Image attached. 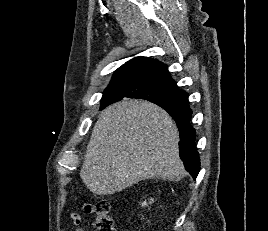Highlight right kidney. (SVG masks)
Segmentation results:
<instances>
[{
	"label": "right kidney",
	"instance_id": "ca27d5eb",
	"mask_svg": "<svg viewBox=\"0 0 268 231\" xmlns=\"http://www.w3.org/2000/svg\"><path fill=\"white\" fill-rule=\"evenodd\" d=\"M152 201H153V199H152ZM144 205H146V202H144V203L142 204V206H144Z\"/></svg>",
	"mask_w": 268,
	"mask_h": 231
}]
</instances>
